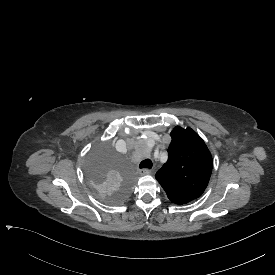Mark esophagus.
Here are the masks:
<instances>
[{
    "instance_id": "1",
    "label": "esophagus",
    "mask_w": 275,
    "mask_h": 275,
    "mask_svg": "<svg viewBox=\"0 0 275 275\" xmlns=\"http://www.w3.org/2000/svg\"><path fill=\"white\" fill-rule=\"evenodd\" d=\"M139 174L140 175H149V174H151V170L150 169H140Z\"/></svg>"
}]
</instances>
